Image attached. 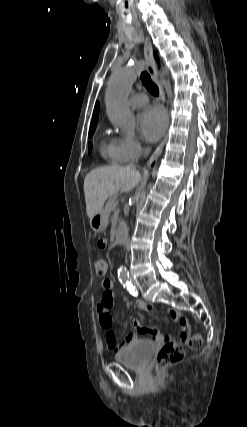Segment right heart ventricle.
<instances>
[{
  "label": "right heart ventricle",
  "instance_id": "1",
  "mask_svg": "<svg viewBox=\"0 0 247 427\" xmlns=\"http://www.w3.org/2000/svg\"><path fill=\"white\" fill-rule=\"evenodd\" d=\"M101 154L112 162H122V154L119 141L116 139H105L101 144Z\"/></svg>",
  "mask_w": 247,
  "mask_h": 427
}]
</instances>
